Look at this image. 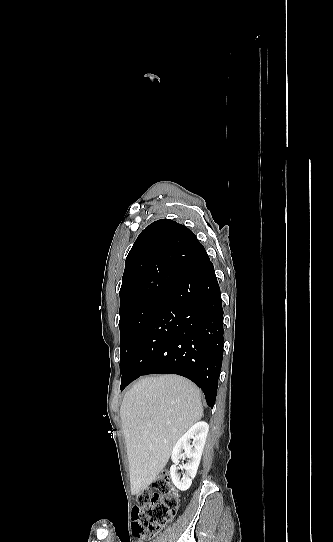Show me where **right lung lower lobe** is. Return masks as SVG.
<instances>
[{"label":"right lung lower lobe","mask_w":333,"mask_h":542,"mask_svg":"<svg viewBox=\"0 0 333 542\" xmlns=\"http://www.w3.org/2000/svg\"><path fill=\"white\" fill-rule=\"evenodd\" d=\"M159 255L186 275L141 332L120 388L142 375L178 374L197 384L212 408L223 358V308L213 264L204 248L195 253L169 248Z\"/></svg>","instance_id":"obj_1"}]
</instances>
